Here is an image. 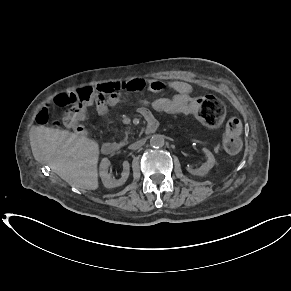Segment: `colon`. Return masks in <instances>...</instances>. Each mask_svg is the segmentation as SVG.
<instances>
[{
    "label": "colon",
    "mask_w": 291,
    "mask_h": 291,
    "mask_svg": "<svg viewBox=\"0 0 291 291\" xmlns=\"http://www.w3.org/2000/svg\"><path fill=\"white\" fill-rule=\"evenodd\" d=\"M125 88L120 83H101L97 87H84L74 92H62L47 102L36 116V122L40 125L49 122L51 109H64L61 120H53L52 125L57 127L66 126L77 135H83L85 129L81 120L89 106L114 96ZM147 107H154L158 112L178 115L179 117L197 114L198 119L206 126L214 128L220 125L224 118V107L214 96L202 98H147ZM241 122L237 118H231L227 122L223 143L225 149L235 153L240 148Z\"/></svg>",
    "instance_id": "1"
}]
</instances>
